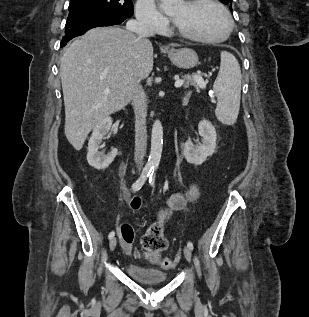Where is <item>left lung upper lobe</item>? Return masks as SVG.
Returning a JSON list of instances; mask_svg holds the SVG:
<instances>
[{"label":"left lung upper lobe","instance_id":"left-lung-upper-lobe-1","mask_svg":"<svg viewBox=\"0 0 309 317\" xmlns=\"http://www.w3.org/2000/svg\"><path fill=\"white\" fill-rule=\"evenodd\" d=\"M221 2H223L224 4H232V0H220ZM232 9V7H230Z\"/></svg>","mask_w":309,"mask_h":317}]
</instances>
